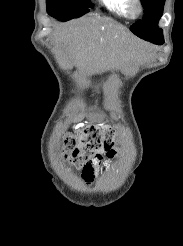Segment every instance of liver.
I'll return each mask as SVG.
<instances>
[{"label":"liver","instance_id":"6515ba94","mask_svg":"<svg viewBox=\"0 0 183 246\" xmlns=\"http://www.w3.org/2000/svg\"><path fill=\"white\" fill-rule=\"evenodd\" d=\"M56 36L82 78L121 68L130 60L140 58L145 48L121 25L98 16L63 25Z\"/></svg>","mask_w":183,"mask_h":246}]
</instances>
